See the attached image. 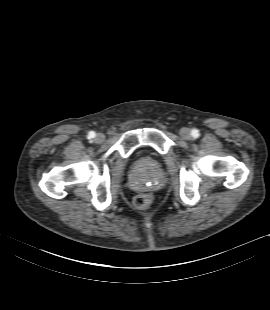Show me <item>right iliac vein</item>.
Instances as JSON below:
<instances>
[{
	"label": "right iliac vein",
	"instance_id": "obj_1",
	"mask_svg": "<svg viewBox=\"0 0 270 310\" xmlns=\"http://www.w3.org/2000/svg\"><path fill=\"white\" fill-rule=\"evenodd\" d=\"M105 140V136L102 133H98L95 137L96 143H102Z\"/></svg>",
	"mask_w": 270,
	"mask_h": 310
}]
</instances>
